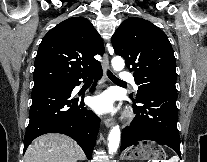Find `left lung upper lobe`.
<instances>
[{
  "label": "left lung upper lobe",
  "instance_id": "obj_1",
  "mask_svg": "<svg viewBox=\"0 0 207 162\" xmlns=\"http://www.w3.org/2000/svg\"><path fill=\"white\" fill-rule=\"evenodd\" d=\"M117 55L134 71L136 98L148 91L177 93L176 62L166 34L143 18H128L112 36Z\"/></svg>",
  "mask_w": 207,
  "mask_h": 162
}]
</instances>
